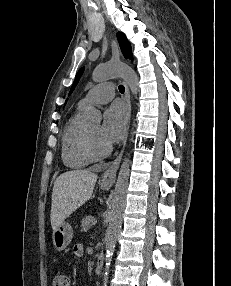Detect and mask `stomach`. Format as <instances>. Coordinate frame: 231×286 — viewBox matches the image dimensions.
<instances>
[{"label":"stomach","mask_w":231,"mask_h":286,"mask_svg":"<svg viewBox=\"0 0 231 286\" xmlns=\"http://www.w3.org/2000/svg\"><path fill=\"white\" fill-rule=\"evenodd\" d=\"M101 188L107 190L108 185H102ZM73 238V230L69 223L63 222L52 232V243L56 250L62 251L67 248Z\"/></svg>","instance_id":"obj_1"}]
</instances>
